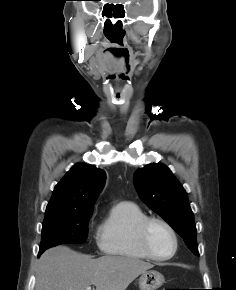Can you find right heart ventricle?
Wrapping results in <instances>:
<instances>
[{
	"label": "right heart ventricle",
	"mask_w": 236,
	"mask_h": 290,
	"mask_svg": "<svg viewBox=\"0 0 236 290\" xmlns=\"http://www.w3.org/2000/svg\"><path fill=\"white\" fill-rule=\"evenodd\" d=\"M148 217L134 202L116 203L99 226L97 242L102 253L126 259L149 260L143 252L137 229Z\"/></svg>",
	"instance_id": "1"
}]
</instances>
